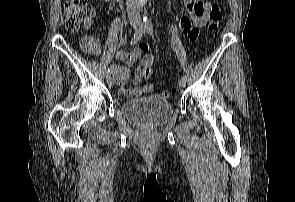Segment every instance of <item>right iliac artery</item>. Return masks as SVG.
Returning <instances> with one entry per match:
<instances>
[{
  "mask_svg": "<svg viewBox=\"0 0 295 202\" xmlns=\"http://www.w3.org/2000/svg\"><path fill=\"white\" fill-rule=\"evenodd\" d=\"M142 35H143V27L141 26L135 32L134 37L132 38L130 44L131 45L136 44L141 39ZM109 75H111L110 68H108L106 71V76H109Z\"/></svg>",
  "mask_w": 295,
  "mask_h": 202,
  "instance_id": "right-iliac-artery-1",
  "label": "right iliac artery"
}]
</instances>
